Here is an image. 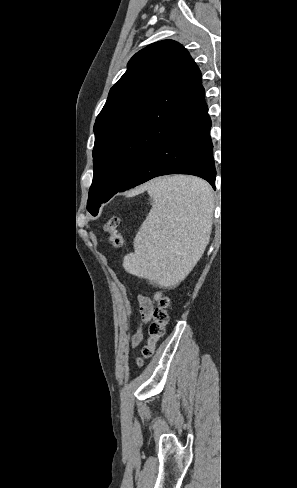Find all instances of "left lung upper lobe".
Listing matches in <instances>:
<instances>
[{
    "mask_svg": "<svg viewBox=\"0 0 297 488\" xmlns=\"http://www.w3.org/2000/svg\"><path fill=\"white\" fill-rule=\"evenodd\" d=\"M127 66L94 125V175L87 202L92 215L161 143L207 107L201 72L180 43L148 45Z\"/></svg>",
    "mask_w": 297,
    "mask_h": 488,
    "instance_id": "5c2ea615",
    "label": "left lung upper lobe"
}]
</instances>
